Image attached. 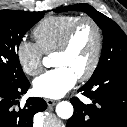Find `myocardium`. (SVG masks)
<instances>
[{
  "mask_svg": "<svg viewBox=\"0 0 127 127\" xmlns=\"http://www.w3.org/2000/svg\"><path fill=\"white\" fill-rule=\"evenodd\" d=\"M84 24H90L93 27L95 31L96 43H95V49L90 65L83 74L77 77L79 81H86L89 78H91V76L94 74L95 70L97 69L100 61L102 47H103V34H102V29L98 24V22L90 17L80 18L66 32L59 46L54 51V54H65L69 50L77 31Z\"/></svg>",
  "mask_w": 127,
  "mask_h": 127,
  "instance_id": "obj_1",
  "label": "myocardium"
}]
</instances>
